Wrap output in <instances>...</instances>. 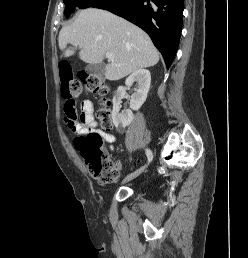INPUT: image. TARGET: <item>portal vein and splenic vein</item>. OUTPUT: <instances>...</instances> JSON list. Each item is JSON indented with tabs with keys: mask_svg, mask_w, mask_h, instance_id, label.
I'll list each match as a JSON object with an SVG mask.
<instances>
[{
	"mask_svg": "<svg viewBox=\"0 0 248 258\" xmlns=\"http://www.w3.org/2000/svg\"><path fill=\"white\" fill-rule=\"evenodd\" d=\"M106 57L108 58V60L109 61H114V59H115V56H114V54H112V53H106Z\"/></svg>",
	"mask_w": 248,
	"mask_h": 258,
	"instance_id": "portal-vein-and-splenic-vein-1",
	"label": "portal vein and splenic vein"
}]
</instances>
